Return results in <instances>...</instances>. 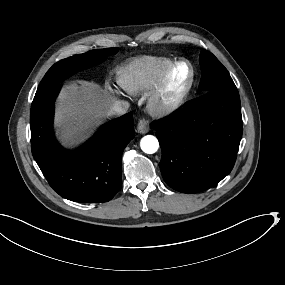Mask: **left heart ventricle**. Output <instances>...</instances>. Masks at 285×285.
Returning a JSON list of instances; mask_svg holds the SVG:
<instances>
[{"label":"left heart ventricle","mask_w":285,"mask_h":285,"mask_svg":"<svg viewBox=\"0 0 285 285\" xmlns=\"http://www.w3.org/2000/svg\"><path fill=\"white\" fill-rule=\"evenodd\" d=\"M182 84V81L177 78H173L164 93L163 99L165 101L174 99L179 94Z\"/></svg>","instance_id":"obj_1"}]
</instances>
